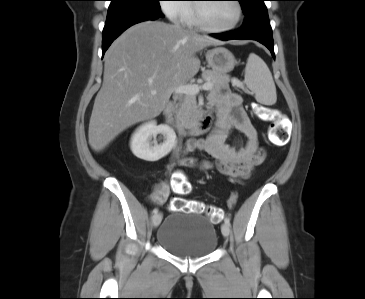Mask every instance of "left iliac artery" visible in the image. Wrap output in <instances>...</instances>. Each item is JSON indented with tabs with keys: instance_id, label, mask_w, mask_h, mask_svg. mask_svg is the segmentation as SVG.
<instances>
[{
	"instance_id": "44dca946",
	"label": "left iliac artery",
	"mask_w": 365,
	"mask_h": 299,
	"mask_svg": "<svg viewBox=\"0 0 365 299\" xmlns=\"http://www.w3.org/2000/svg\"><path fill=\"white\" fill-rule=\"evenodd\" d=\"M224 222H225L226 224L230 225V220H229L228 218H226V219L224 220Z\"/></svg>"
}]
</instances>
